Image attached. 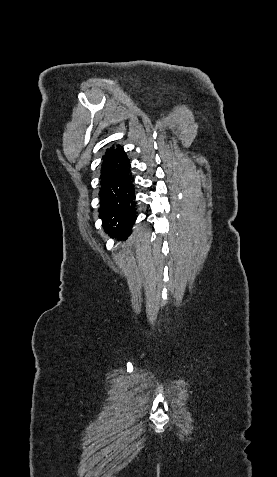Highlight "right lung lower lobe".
I'll return each mask as SVG.
<instances>
[{"label": "right lung lower lobe", "mask_w": 277, "mask_h": 477, "mask_svg": "<svg viewBox=\"0 0 277 477\" xmlns=\"http://www.w3.org/2000/svg\"><path fill=\"white\" fill-rule=\"evenodd\" d=\"M133 177L123 147L111 146L103 156L99 218L106 230L124 239L132 232L137 218Z\"/></svg>", "instance_id": "obj_1"}]
</instances>
